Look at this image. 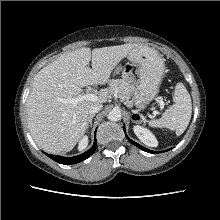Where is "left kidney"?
Listing matches in <instances>:
<instances>
[{
  "mask_svg": "<svg viewBox=\"0 0 220 220\" xmlns=\"http://www.w3.org/2000/svg\"><path fill=\"white\" fill-rule=\"evenodd\" d=\"M135 135L138 137V139L144 143L145 145L149 147H157L158 142L155 136L146 128L140 126V125H135L133 127Z\"/></svg>",
  "mask_w": 220,
  "mask_h": 220,
  "instance_id": "1",
  "label": "left kidney"
}]
</instances>
